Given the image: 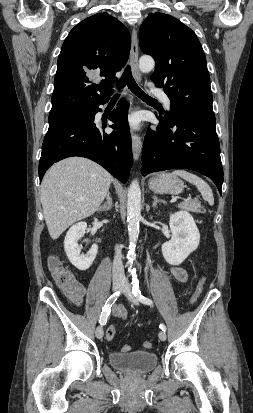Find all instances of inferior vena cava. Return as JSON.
<instances>
[{
  "label": "inferior vena cava",
  "mask_w": 253,
  "mask_h": 413,
  "mask_svg": "<svg viewBox=\"0 0 253 413\" xmlns=\"http://www.w3.org/2000/svg\"><path fill=\"white\" fill-rule=\"evenodd\" d=\"M113 276L114 277H123L124 276V267L122 263V255L119 246L115 248V257L113 260Z\"/></svg>",
  "instance_id": "1"
}]
</instances>
